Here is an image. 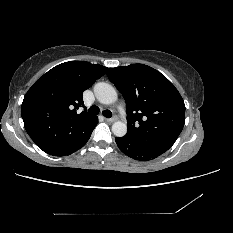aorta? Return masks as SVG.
I'll use <instances>...</instances> for the list:
<instances>
[{"label":"aorta","instance_id":"aorta-1","mask_svg":"<svg viewBox=\"0 0 233 233\" xmlns=\"http://www.w3.org/2000/svg\"><path fill=\"white\" fill-rule=\"evenodd\" d=\"M94 94L102 104H111L117 100V92L114 87L105 82H99L94 86ZM112 132L117 137H123L127 133V125L122 121L114 122Z\"/></svg>","mask_w":233,"mask_h":233}]
</instances>
